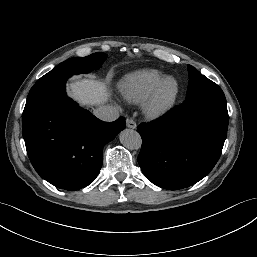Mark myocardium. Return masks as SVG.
<instances>
[{"label": "myocardium", "mask_w": 257, "mask_h": 257, "mask_svg": "<svg viewBox=\"0 0 257 257\" xmlns=\"http://www.w3.org/2000/svg\"><path fill=\"white\" fill-rule=\"evenodd\" d=\"M172 81L174 89L167 97L163 96L164 85ZM180 91L178 80L173 76H164L154 87L149 97L144 101V112L151 118H159L168 113L174 106Z\"/></svg>", "instance_id": "myocardium-1"}]
</instances>
